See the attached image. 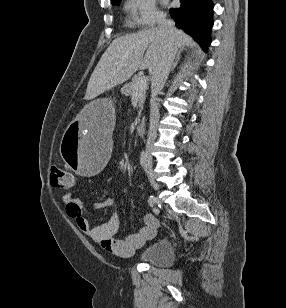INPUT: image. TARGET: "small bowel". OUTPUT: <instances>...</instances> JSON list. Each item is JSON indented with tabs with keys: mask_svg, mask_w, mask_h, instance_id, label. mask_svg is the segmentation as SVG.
Instances as JSON below:
<instances>
[{
	"mask_svg": "<svg viewBox=\"0 0 286 308\" xmlns=\"http://www.w3.org/2000/svg\"><path fill=\"white\" fill-rule=\"evenodd\" d=\"M65 211L78 229L86 234L93 242L105 251L120 257H130L134 252L142 247L144 243L155 237L159 227L158 218L148 213L144 216V225L138 231L128 234L122 239L115 238L119 228V218L115 211V201L108 197L92 205H86L76 199L71 193L63 196ZM110 210L109 218L106 222L92 227L84 213L90 210Z\"/></svg>",
	"mask_w": 286,
	"mask_h": 308,
	"instance_id": "small-bowel-1",
	"label": "small bowel"
}]
</instances>
